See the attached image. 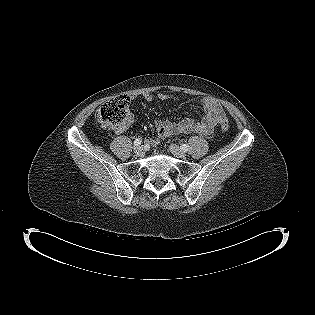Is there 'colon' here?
<instances>
[{"label": "colon", "instance_id": "obj_1", "mask_svg": "<svg viewBox=\"0 0 315 315\" xmlns=\"http://www.w3.org/2000/svg\"><path fill=\"white\" fill-rule=\"evenodd\" d=\"M96 117L98 122L106 128L113 130L126 128L133 119L129 109V98L125 95L111 98L97 110ZM221 128L223 131L228 130L226 120L221 123Z\"/></svg>", "mask_w": 315, "mask_h": 315}]
</instances>
